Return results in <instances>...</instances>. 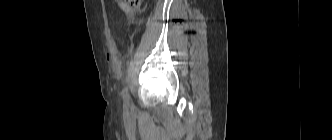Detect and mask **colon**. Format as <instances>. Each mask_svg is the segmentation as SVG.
<instances>
[{"label":"colon","instance_id":"5ec220e1","mask_svg":"<svg viewBox=\"0 0 332 140\" xmlns=\"http://www.w3.org/2000/svg\"><path fill=\"white\" fill-rule=\"evenodd\" d=\"M142 0H117L120 8L127 14L132 13Z\"/></svg>","mask_w":332,"mask_h":140}]
</instances>
